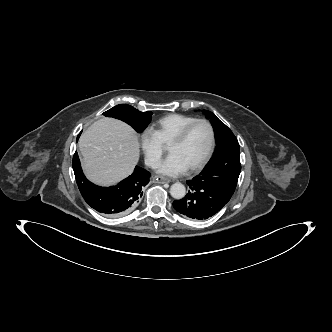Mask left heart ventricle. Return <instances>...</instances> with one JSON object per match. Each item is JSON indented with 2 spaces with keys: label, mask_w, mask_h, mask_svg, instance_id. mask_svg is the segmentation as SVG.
Listing matches in <instances>:
<instances>
[{
  "label": "left heart ventricle",
  "mask_w": 332,
  "mask_h": 332,
  "mask_svg": "<svg viewBox=\"0 0 332 332\" xmlns=\"http://www.w3.org/2000/svg\"><path fill=\"white\" fill-rule=\"evenodd\" d=\"M210 139L209 127L204 123H198L190 129L183 142L177 145H169L168 150L170 153L179 156L189 168L206 153Z\"/></svg>",
  "instance_id": "1"
}]
</instances>
